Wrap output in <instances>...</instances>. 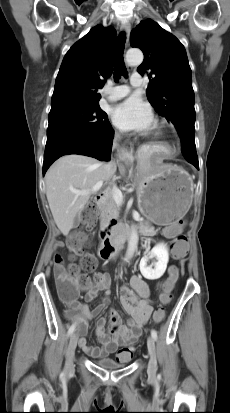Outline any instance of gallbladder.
I'll return each mask as SVG.
<instances>
[{
    "mask_svg": "<svg viewBox=\"0 0 230 413\" xmlns=\"http://www.w3.org/2000/svg\"><path fill=\"white\" fill-rule=\"evenodd\" d=\"M80 221V218H76L75 223L78 224Z\"/></svg>",
    "mask_w": 230,
    "mask_h": 413,
    "instance_id": "obj_1",
    "label": "gallbladder"
}]
</instances>
